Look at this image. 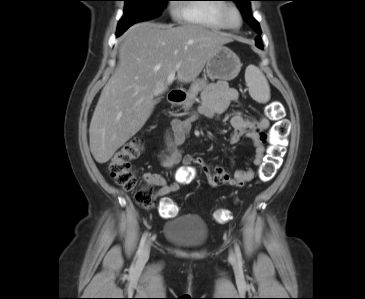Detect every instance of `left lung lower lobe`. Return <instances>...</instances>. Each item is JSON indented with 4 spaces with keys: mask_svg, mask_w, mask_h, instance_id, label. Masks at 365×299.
I'll list each match as a JSON object with an SVG mask.
<instances>
[{
    "mask_svg": "<svg viewBox=\"0 0 365 299\" xmlns=\"http://www.w3.org/2000/svg\"><path fill=\"white\" fill-rule=\"evenodd\" d=\"M256 41H257L256 46L260 49H263V44L261 43V39L258 37L256 38Z\"/></svg>",
    "mask_w": 365,
    "mask_h": 299,
    "instance_id": "obj_1",
    "label": "left lung lower lobe"
}]
</instances>
